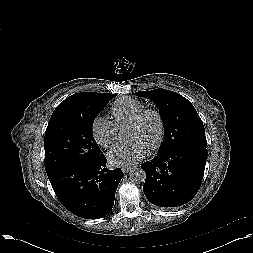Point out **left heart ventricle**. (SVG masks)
Returning <instances> with one entry per match:
<instances>
[{
    "mask_svg": "<svg viewBox=\"0 0 253 253\" xmlns=\"http://www.w3.org/2000/svg\"><path fill=\"white\" fill-rule=\"evenodd\" d=\"M158 132V121L154 115H147L141 123L135 127H127L126 139H137L146 147L155 140Z\"/></svg>",
    "mask_w": 253,
    "mask_h": 253,
    "instance_id": "b2bd125f",
    "label": "left heart ventricle"
}]
</instances>
